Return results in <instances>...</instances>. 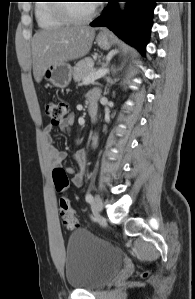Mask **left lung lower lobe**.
Masks as SVG:
<instances>
[{
    "label": "left lung lower lobe",
    "instance_id": "1",
    "mask_svg": "<svg viewBox=\"0 0 195 299\" xmlns=\"http://www.w3.org/2000/svg\"><path fill=\"white\" fill-rule=\"evenodd\" d=\"M117 2H127L124 12L119 10ZM155 2L156 0H108L105 12L91 26H106L144 55L153 24Z\"/></svg>",
    "mask_w": 195,
    "mask_h": 299
}]
</instances>
